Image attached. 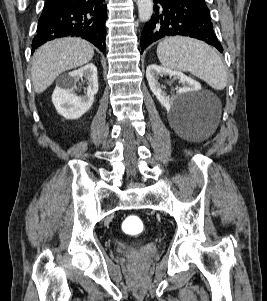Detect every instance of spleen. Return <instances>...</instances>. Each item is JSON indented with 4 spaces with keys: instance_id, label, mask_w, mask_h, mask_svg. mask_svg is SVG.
<instances>
[{
    "instance_id": "spleen-1",
    "label": "spleen",
    "mask_w": 267,
    "mask_h": 301,
    "mask_svg": "<svg viewBox=\"0 0 267 301\" xmlns=\"http://www.w3.org/2000/svg\"><path fill=\"white\" fill-rule=\"evenodd\" d=\"M157 56L163 67L190 72L215 90H223L227 85V71L219 54L203 41L168 37L158 44Z\"/></svg>"
}]
</instances>
